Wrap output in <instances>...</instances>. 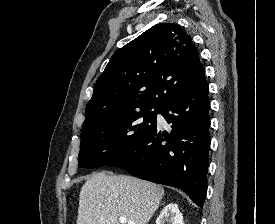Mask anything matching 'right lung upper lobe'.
Wrapping results in <instances>:
<instances>
[{"mask_svg":"<svg viewBox=\"0 0 275 224\" xmlns=\"http://www.w3.org/2000/svg\"><path fill=\"white\" fill-rule=\"evenodd\" d=\"M203 73L191 38L178 25H154L116 51L98 78L83 129L141 109H162Z\"/></svg>","mask_w":275,"mask_h":224,"instance_id":"obj_1","label":"right lung upper lobe"}]
</instances>
